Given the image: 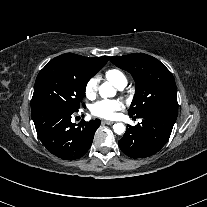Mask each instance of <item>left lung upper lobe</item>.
I'll list each match as a JSON object with an SVG mask.
<instances>
[{"instance_id": "left-lung-upper-lobe-1", "label": "left lung upper lobe", "mask_w": 207, "mask_h": 207, "mask_svg": "<svg viewBox=\"0 0 207 207\" xmlns=\"http://www.w3.org/2000/svg\"><path fill=\"white\" fill-rule=\"evenodd\" d=\"M110 60L131 73L136 82V93L128 110L129 115L141 116L157 109L178 111L174 77L159 60L142 53L115 56Z\"/></svg>"}]
</instances>
